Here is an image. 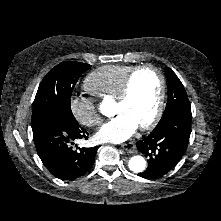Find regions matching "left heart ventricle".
Returning <instances> with one entry per match:
<instances>
[{
	"mask_svg": "<svg viewBox=\"0 0 221 221\" xmlns=\"http://www.w3.org/2000/svg\"><path fill=\"white\" fill-rule=\"evenodd\" d=\"M160 94V79L152 70L140 72L133 80L129 98L115 103L113 112L124 113L138 126L147 123L154 116Z\"/></svg>",
	"mask_w": 221,
	"mask_h": 221,
	"instance_id": "b2bd125f",
	"label": "left heart ventricle"
}]
</instances>
